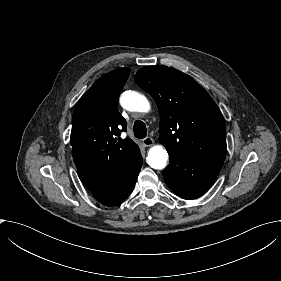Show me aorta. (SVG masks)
Returning a JSON list of instances; mask_svg holds the SVG:
<instances>
[{"label":"aorta","mask_w":281,"mask_h":281,"mask_svg":"<svg viewBox=\"0 0 281 281\" xmlns=\"http://www.w3.org/2000/svg\"><path fill=\"white\" fill-rule=\"evenodd\" d=\"M121 106L132 112H148L150 103L147 98L136 91H125L120 96ZM168 153L162 145H154L148 151L147 162L154 169H164L167 166Z\"/></svg>","instance_id":"762f6f07"}]
</instances>
